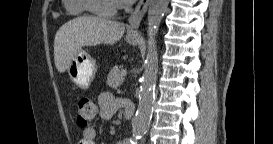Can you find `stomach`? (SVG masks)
<instances>
[{
	"mask_svg": "<svg viewBox=\"0 0 273 144\" xmlns=\"http://www.w3.org/2000/svg\"><path fill=\"white\" fill-rule=\"evenodd\" d=\"M138 41V38L127 37L130 45H136ZM67 70L73 83L81 89H88L95 77L97 65L93 57L80 49L71 60Z\"/></svg>",
	"mask_w": 273,
	"mask_h": 144,
	"instance_id": "obj_1",
	"label": "stomach"
}]
</instances>
